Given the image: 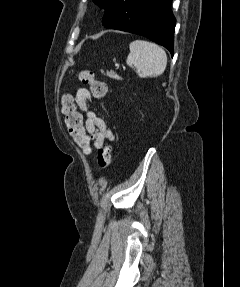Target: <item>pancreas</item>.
<instances>
[{
	"label": "pancreas",
	"mask_w": 240,
	"mask_h": 287,
	"mask_svg": "<svg viewBox=\"0 0 240 287\" xmlns=\"http://www.w3.org/2000/svg\"><path fill=\"white\" fill-rule=\"evenodd\" d=\"M104 73V72H102ZM104 75H107L108 77L112 78V79H120V76H118L114 71H107L106 73H104Z\"/></svg>",
	"instance_id": "1"
}]
</instances>
